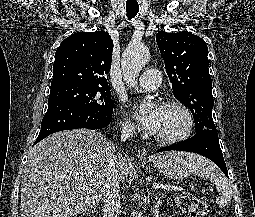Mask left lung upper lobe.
Instances as JSON below:
<instances>
[{
    "label": "left lung upper lobe",
    "mask_w": 255,
    "mask_h": 217,
    "mask_svg": "<svg viewBox=\"0 0 255 217\" xmlns=\"http://www.w3.org/2000/svg\"><path fill=\"white\" fill-rule=\"evenodd\" d=\"M156 42L164 59L174 96L193 114L196 132L216 130L212 119L214 100L209 75L208 48L190 32L159 31Z\"/></svg>",
    "instance_id": "obj_1"
}]
</instances>
